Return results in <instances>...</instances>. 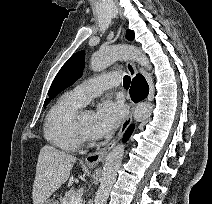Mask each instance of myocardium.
I'll use <instances>...</instances> for the list:
<instances>
[{
    "mask_svg": "<svg viewBox=\"0 0 212 204\" xmlns=\"http://www.w3.org/2000/svg\"><path fill=\"white\" fill-rule=\"evenodd\" d=\"M80 115L76 114L73 121V128L76 138L80 145H90L93 142V138L90 137L82 128L80 124Z\"/></svg>",
    "mask_w": 212,
    "mask_h": 204,
    "instance_id": "1",
    "label": "myocardium"
}]
</instances>
